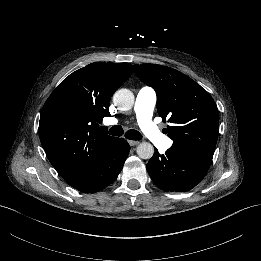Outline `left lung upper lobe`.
<instances>
[{
    "label": "left lung upper lobe",
    "instance_id": "left-lung-upper-lobe-1",
    "mask_svg": "<svg viewBox=\"0 0 261 261\" xmlns=\"http://www.w3.org/2000/svg\"><path fill=\"white\" fill-rule=\"evenodd\" d=\"M135 70L139 79L156 91L159 116L163 121L168 118L172 124L167 126L172 147L193 148L213 155L219 132V113L209 93L170 67L135 64Z\"/></svg>",
    "mask_w": 261,
    "mask_h": 261
}]
</instances>
